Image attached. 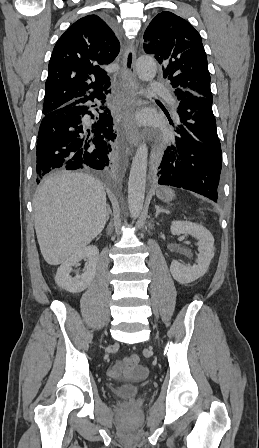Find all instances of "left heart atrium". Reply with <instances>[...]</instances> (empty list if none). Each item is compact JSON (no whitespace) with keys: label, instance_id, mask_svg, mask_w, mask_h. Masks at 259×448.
Returning <instances> with one entry per match:
<instances>
[{"label":"left heart atrium","instance_id":"39dd6f15","mask_svg":"<svg viewBox=\"0 0 259 448\" xmlns=\"http://www.w3.org/2000/svg\"><path fill=\"white\" fill-rule=\"evenodd\" d=\"M181 154H182V152L180 150H174L173 152L170 153L169 156L171 159H174V158H177Z\"/></svg>","mask_w":259,"mask_h":448}]
</instances>
